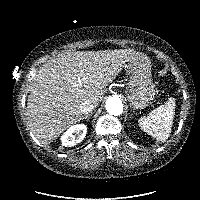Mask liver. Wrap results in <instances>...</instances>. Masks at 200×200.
Segmentation results:
<instances>
[{
	"label": "liver",
	"mask_w": 200,
	"mask_h": 200,
	"mask_svg": "<svg viewBox=\"0 0 200 200\" xmlns=\"http://www.w3.org/2000/svg\"><path fill=\"white\" fill-rule=\"evenodd\" d=\"M138 52L132 49L65 51L37 71L27 100L32 133L44 145L81 120L86 100L98 106L105 88Z\"/></svg>",
	"instance_id": "6515ba94"
}]
</instances>
